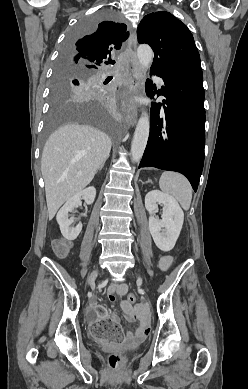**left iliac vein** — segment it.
<instances>
[{
    "mask_svg": "<svg viewBox=\"0 0 248 389\" xmlns=\"http://www.w3.org/2000/svg\"><path fill=\"white\" fill-rule=\"evenodd\" d=\"M138 282L142 284V279L140 277L137 278Z\"/></svg>",
    "mask_w": 248,
    "mask_h": 389,
    "instance_id": "obj_1",
    "label": "left iliac vein"
}]
</instances>
